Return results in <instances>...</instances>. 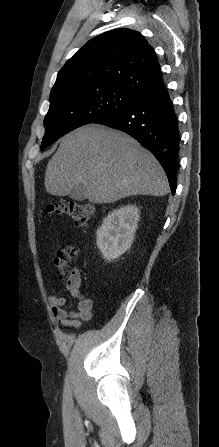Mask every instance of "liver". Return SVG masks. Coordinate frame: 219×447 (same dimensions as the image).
I'll return each instance as SVG.
<instances>
[{"label": "liver", "instance_id": "1", "mask_svg": "<svg viewBox=\"0 0 219 447\" xmlns=\"http://www.w3.org/2000/svg\"><path fill=\"white\" fill-rule=\"evenodd\" d=\"M80 184L93 204L169 192L166 174L148 150L125 133L94 124L62 137L45 173L46 191L54 196L69 195Z\"/></svg>", "mask_w": 219, "mask_h": 447}]
</instances>
